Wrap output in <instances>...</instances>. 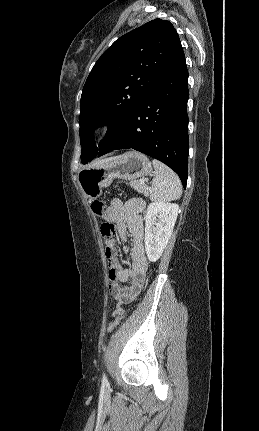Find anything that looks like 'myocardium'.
Masks as SVG:
<instances>
[{"instance_id": "obj_1", "label": "myocardium", "mask_w": 259, "mask_h": 431, "mask_svg": "<svg viewBox=\"0 0 259 431\" xmlns=\"http://www.w3.org/2000/svg\"><path fill=\"white\" fill-rule=\"evenodd\" d=\"M113 126V122L110 118H104L100 120L94 127H93V135L96 137L102 136L109 132Z\"/></svg>"}]
</instances>
